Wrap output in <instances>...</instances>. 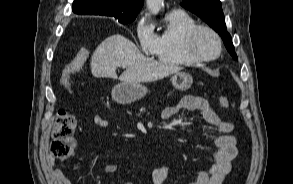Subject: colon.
I'll list each match as a JSON object with an SVG mask.
<instances>
[{
    "mask_svg": "<svg viewBox=\"0 0 293 184\" xmlns=\"http://www.w3.org/2000/svg\"><path fill=\"white\" fill-rule=\"evenodd\" d=\"M90 55L88 48L81 49L77 55L65 66L62 74V84L69 88L70 75L79 71ZM221 107L227 109L230 106L229 99L224 95L218 96ZM77 122L75 117L67 110L60 109L56 113L53 130L52 143L50 146V157L52 160L64 161L68 159L75 148L73 135L76 131Z\"/></svg>",
    "mask_w": 293,
    "mask_h": 184,
    "instance_id": "5ec220e1",
    "label": "colon"
}]
</instances>
